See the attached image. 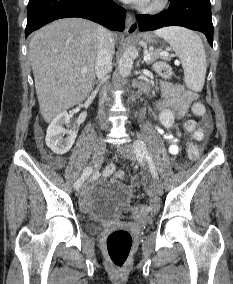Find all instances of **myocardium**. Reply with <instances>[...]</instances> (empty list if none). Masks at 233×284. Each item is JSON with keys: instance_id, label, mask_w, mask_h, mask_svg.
<instances>
[{"instance_id": "f54148a6", "label": "myocardium", "mask_w": 233, "mask_h": 284, "mask_svg": "<svg viewBox=\"0 0 233 284\" xmlns=\"http://www.w3.org/2000/svg\"><path fill=\"white\" fill-rule=\"evenodd\" d=\"M168 4V0H148L141 7V11L144 13H157L162 11L166 5Z\"/></svg>"}]
</instances>
